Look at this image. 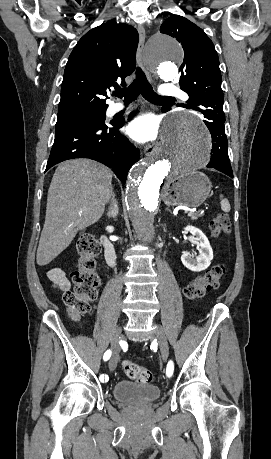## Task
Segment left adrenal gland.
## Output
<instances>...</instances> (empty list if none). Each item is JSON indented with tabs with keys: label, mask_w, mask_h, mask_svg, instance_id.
<instances>
[{
	"label": "left adrenal gland",
	"mask_w": 271,
	"mask_h": 459,
	"mask_svg": "<svg viewBox=\"0 0 271 459\" xmlns=\"http://www.w3.org/2000/svg\"><path fill=\"white\" fill-rule=\"evenodd\" d=\"M166 210H168V212H171V210H169V208H166Z\"/></svg>",
	"instance_id": "a2214340"
}]
</instances>
